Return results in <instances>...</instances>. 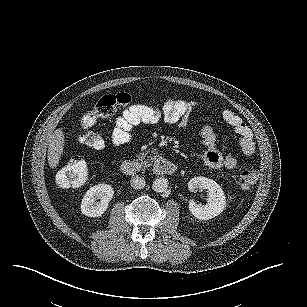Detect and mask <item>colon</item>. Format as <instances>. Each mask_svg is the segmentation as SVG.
Here are the masks:
<instances>
[{"label":"colon","mask_w":307,"mask_h":307,"mask_svg":"<svg viewBox=\"0 0 307 307\" xmlns=\"http://www.w3.org/2000/svg\"><path fill=\"white\" fill-rule=\"evenodd\" d=\"M132 103V98L126 93L107 95L102 97L92 109L81 117V125L85 132L81 136V143L93 149H102L105 146L103 136L89 130L99 118L113 115L117 110L126 108ZM88 176L87 162L80 157L70 160L55 176L58 187L63 189L82 186ZM258 171L252 166L245 167L239 175V184L243 189L253 188L258 181Z\"/></svg>","instance_id":"obj_1"}]
</instances>
